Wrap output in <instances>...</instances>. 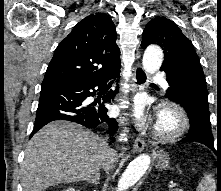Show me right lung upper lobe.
I'll list each match as a JSON object with an SVG mask.
<instances>
[{
  "label": "right lung upper lobe",
  "instance_id": "obj_1",
  "mask_svg": "<svg viewBox=\"0 0 221 191\" xmlns=\"http://www.w3.org/2000/svg\"><path fill=\"white\" fill-rule=\"evenodd\" d=\"M114 65H120L114 23L107 14H91L58 45L42 86L97 81L119 70Z\"/></svg>",
  "mask_w": 221,
  "mask_h": 191
}]
</instances>
